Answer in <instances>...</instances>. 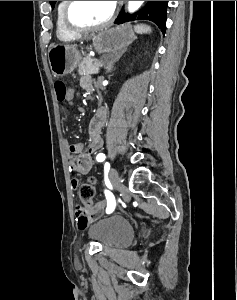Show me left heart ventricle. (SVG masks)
I'll use <instances>...</instances> for the list:
<instances>
[{
	"label": "left heart ventricle",
	"instance_id": "1",
	"mask_svg": "<svg viewBox=\"0 0 237 300\" xmlns=\"http://www.w3.org/2000/svg\"><path fill=\"white\" fill-rule=\"evenodd\" d=\"M114 8L112 1H76L71 20L78 26H92L106 21Z\"/></svg>",
	"mask_w": 237,
	"mask_h": 300
}]
</instances>
